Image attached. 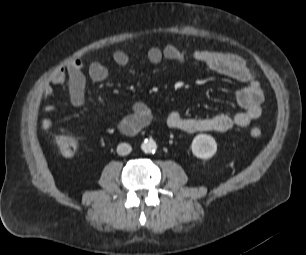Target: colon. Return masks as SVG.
Instances as JSON below:
<instances>
[{
    "label": "colon",
    "mask_w": 306,
    "mask_h": 255,
    "mask_svg": "<svg viewBox=\"0 0 306 255\" xmlns=\"http://www.w3.org/2000/svg\"><path fill=\"white\" fill-rule=\"evenodd\" d=\"M250 134L254 138H260L262 136V130L258 127H254L250 130ZM55 144L59 153L65 158H71L77 151L76 139L68 134H60L55 138Z\"/></svg>",
    "instance_id": "5ec220e1"
}]
</instances>
